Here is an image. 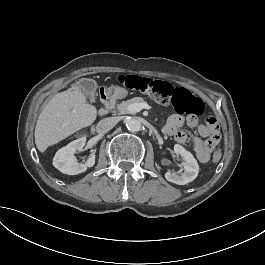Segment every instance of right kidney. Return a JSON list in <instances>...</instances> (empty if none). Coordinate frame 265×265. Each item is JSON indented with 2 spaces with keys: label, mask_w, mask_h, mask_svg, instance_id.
I'll use <instances>...</instances> for the list:
<instances>
[{
  "label": "right kidney",
  "mask_w": 265,
  "mask_h": 265,
  "mask_svg": "<svg viewBox=\"0 0 265 265\" xmlns=\"http://www.w3.org/2000/svg\"><path fill=\"white\" fill-rule=\"evenodd\" d=\"M86 143V137H81L77 140L70 142L65 147L59 149L54 158L53 166L60 172L68 175H77L83 173L88 167H93L95 164V155L93 154L85 164L78 163L74 153L81 151Z\"/></svg>",
  "instance_id": "ca27d5eb"
}]
</instances>
